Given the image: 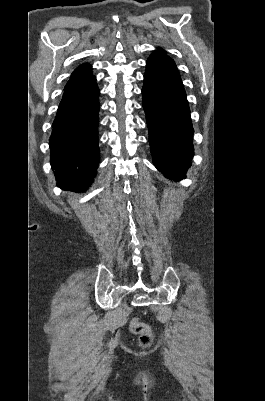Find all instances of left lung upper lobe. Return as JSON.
I'll return each mask as SVG.
<instances>
[{"label":"left lung upper lobe","instance_id":"5c2ea615","mask_svg":"<svg viewBox=\"0 0 265 401\" xmlns=\"http://www.w3.org/2000/svg\"><path fill=\"white\" fill-rule=\"evenodd\" d=\"M151 56H162V57L171 59L169 56H167L166 54H164L162 52H154Z\"/></svg>","mask_w":265,"mask_h":401}]
</instances>
